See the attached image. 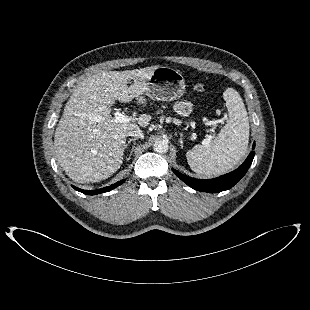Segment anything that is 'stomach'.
Listing matches in <instances>:
<instances>
[{"label":"stomach","instance_id":"0dacf381","mask_svg":"<svg viewBox=\"0 0 310 310\" xmlns=\"http://www.w3.org/2000/svg\"><path fill=\"white\" fill-rule=\"evenodd\" d=\"M185 87V80L180 70L158 66L149 78L144 95L138 100L143 101L144 96H148L157 101H174L182 97ZM173 110L182 117H188L193 112V103L188 100L177 101L173 105Z\"/></svg>","mask_w":310,"mask_h":310}]
</instances>
